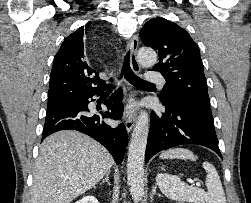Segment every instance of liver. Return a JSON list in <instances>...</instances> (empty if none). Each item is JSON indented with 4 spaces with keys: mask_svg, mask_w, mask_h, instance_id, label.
<instances>
[{
    "mask_svg": "<svg viewBox=\"0 0 251 203\" xmlns=\"http://www.w3.org/2000/svg\"><path fill=\"white\" fill-rule=\"evenodd\" d=\"M113 163L110 153L89 136L56 132L40 146L31 203H70L110 173Z\"/></svg>",
    "mask_w": 251,
    "mask_h": 203,
    "instance_id": "liver-1",
    "label": "liver"
}]
</instances>
